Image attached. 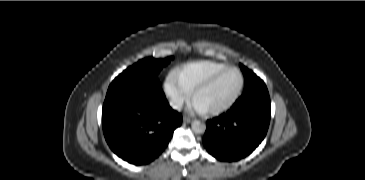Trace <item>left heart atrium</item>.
Segmentation results:
<instances>
[{"mask_svg":"<svg viewBox=\"0 0 365 180\" xmlns=\"http://www.w3.org/2000/svg\"><path fill=\"white\" fill-rule=\"evenodd\" d=\"M192 109L193 110H195V111H197V112H203L204 111V109L202 108V107H200L197 103H195V102H193L192 103Z\"/></svg>","mask_w":365,"mask_h":180,"instance_id":"left-heart-atrium-1","label":"left heart atrium"}]
</instances>
